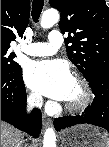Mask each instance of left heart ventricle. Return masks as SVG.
Returning <instances> with one entry per match:
<instances>
[{
  "label": "left heart ventricle",
  "mask_w": 109,
  "mask_h": 147,
  "mask_svg": "<svg viewBox=\"0 0 109 147\" xmlns=\"http://www.w3.org/2000/svg\"><path fill=\"white\" fill-rule=\"evenodd\" d=\"M84 96V90L80 83L75 79L72 80L66 102L71 104L79 103Z\"/></svg>",
  "instance_id": "obj_1"
}]
</instances>
